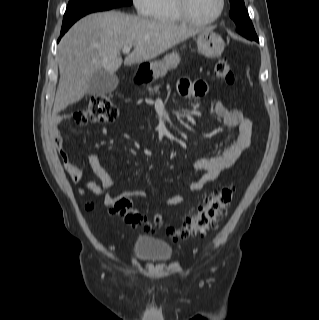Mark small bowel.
<instances>
[{"label": "small bowel", "mask_w": 319, "mask_h": 320, "mask_svg": "<svg viewBox=\"0 0 319 320\" xmlns=\"http://www.w3.org/2000/svg\"><path fill=\"white\" fill-rule=\"evenodd\" d=\"M178 91L181 96L186 98H202L208 94V86L202 80L191 81L182 78L178 82ZM214 112L216 116L222 120L225 126L235 128L237 133L223 151L195 160V178L189 186L190 192L202 190L207 184L217 179L222 172L230 169L236 163L241 153L246 150L251 143L252 122L245 117L240 110L228 109L221 101H217L214 105ZM65 118V116L61 115L55 116L51 123L52 135L65 171L72 182L81 183L83 191H89L96 195H103L105 206L111 208L118 197L105 193V191L114 186L113 178L103 166L100 154L92 153L88 157L89 165L101 180V185H98L93 181H83L82 170L73 164L70 153L64 146V139L59 125ZM101 132L106 134L107 129L103 127ZM129 195L138 198H146L149 193L146 190H134L130 191ZM185 200L186 196L184 194H176L167 199L163 205L175 206L182 204Z\"/></svg>", "instance_id": "c3829d8e"}]
</instances>
